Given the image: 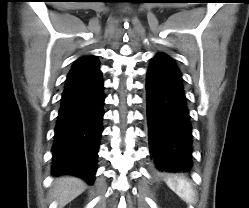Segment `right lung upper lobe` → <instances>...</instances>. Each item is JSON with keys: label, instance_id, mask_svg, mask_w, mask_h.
Here are the masks:
<instances>
[{"label": "right lung upper lobe", "instance_id": "obj_1", "mask_svg": "<svg viewBox=\"0 0 249 208\" xmlns=\"http://www.w3.org/2000/svg\"><path fill=\"white\" fill-rule=\"evenodd\" d=\"M99 62L95 56L79 58L69 72L65 86L87 79L99 73Z\"/></svg>", "mask_w": 249, "mask_h": 208}]
</instances>
